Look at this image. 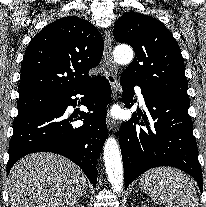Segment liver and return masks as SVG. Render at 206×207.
<instances>
[{
	"mask_svg": "<svg viewBox=\"0 0 206 207\" xmlns=\"http://www.w3.org/2000/svg\"><path fill=\"white\" fill-rule=\"evenodd\" d=\"M7 185L11 207H71L86 189V176L63 156L34 153L12 167Z\"/></svg>",
	"mask_w": 206,
	"mask_h": 207,
	"instance_id": "obj_1",
	"label": "liver"
}]
</instances>
